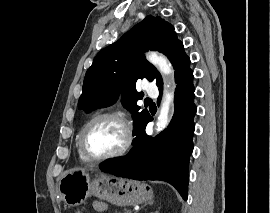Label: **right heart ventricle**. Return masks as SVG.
<instances>
[{
	"instance_id": "1",
	"label": "right heart ventricle",
	"mask_w": 270,
	"mask_h": 213,
	"mask_svg": "<svg viewBox=\"0 0 270 213\" xmlns=\"http://www.w3.org/2000/svg\"><path fill=\"white\" fill-rule=\"evenodd\" d=\"M79 137H80V132L78 133L77 138H76V148H77L78 156H79V158H80L81 161L88 162V160L81 153L80 144H79Z\"/></svg>"
}]
</instances>
